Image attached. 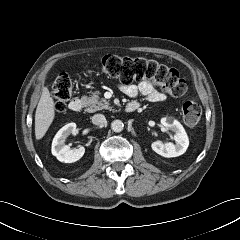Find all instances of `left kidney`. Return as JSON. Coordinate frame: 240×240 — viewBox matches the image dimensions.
Masks as SVG:
<instances>
[{
  "label": "left kidney",
  "instance_id": "left-kidney-1",
  "mask_svg": "<svg viewBox=\"0 0 240 240\" xmlns=\"http://www.w3.org/2000/svg\"><path fill=\"white\" fill-rule=\"evenodd\" d=\"M161 124L166 130H171L175 133V144L170 142L164 144L162 141L157 140L151 144L153 151L166 158L184 154L189 146V139L180 122L170 117H165L161 119Z\"/></svg>",
  "mask_w": 240,
  "mask_h": 240
}]
</instances>
